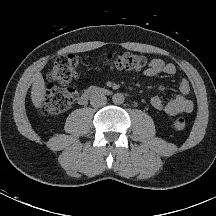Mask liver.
<instances>
[{
	"label": "liver",
	"instance_id": "obj_1",
	"mask_svg": "<svg viewBox=\"0 0 216 216\" xmlns=\"http://www.w3.org/2000/svg\"><path fill=\"white\" fill-rule=\"evenodd\" d=\"M45 82L41 73H36L33 78L31 99L36 108H40L45 98Z\"/></svg>",
	"mask_w": 216,
	"mask_h": 216
}]
</instances>
